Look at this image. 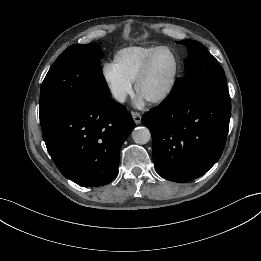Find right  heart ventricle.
<instances>
[{
  "mask_svg": "<svg viewBox=\"0 0 261 261\" xmlns=\"http://www.w3.org/2000/svg\"><path fill=\"white\" fill-rule=\"evenodd\" d=\"M159 46H131L117 51L113 65L129 81L134 82L148 56Z\"/></svg>",
  "mask_w": 261,
  "mask_h": 261,
  "instance_id": "right-heart-ventricle-1",
  "label": "right heart ventricle"
}]
</instances>
